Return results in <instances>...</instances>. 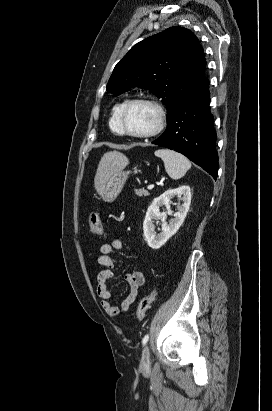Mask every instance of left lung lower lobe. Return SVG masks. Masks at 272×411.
Returning <instances> with one entry per match:
<instances>
[{"label": "left lung lower lobe", "instance_id": "left-lung-lower-lobe-1", "mask_svg": "<svg viewBox=\"0 0 272 411\" xmlns=\"http://www.w3.org/2000/svg\"><path fill=\"white\" fill-rule=\"evenodd\" d=\"M209 81L188 96L169 119L165 132L153 144L182 153L214 179L218 175L216 131L210 113Z\"/></svg>", "mask_w": 272, "mask_h": 411}]
</instances>
